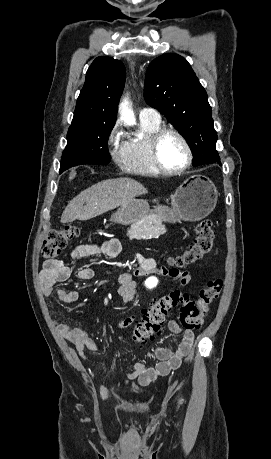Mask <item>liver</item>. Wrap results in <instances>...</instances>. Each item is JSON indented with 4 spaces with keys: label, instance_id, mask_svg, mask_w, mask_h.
Returning a JSON list of instances; mask_svg holds the SVG:
<instances>
[{
    "label": "liver",
    "instance_id": "1",
    "mask_svg": "<svg viewBox=\"0 0 271 459\" xmlns=\"http://www.w3.org/2000/svg\"><path fill=\"white\" fill-rule=\"evenodd\" d=\"M141 194H148V190L131 178H117V180L98 182L95 186L83 190L81 194L69 202L60 222L67 224V222H74V220H90V218L100 216V214L114 210L118 206H123ZM84 202H86V206H83Z\"/></svg>",
    "mask_w": 271,
    "mask_h": 459
}]
</instances>
